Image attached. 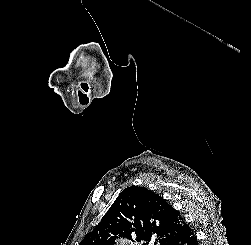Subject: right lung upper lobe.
Listing matches in <instances>:
<instances>
[{
    "instance_id": "right-lung-upper-lobe-1",
    "label": "right lung upper lobe",
    "mask_w": 251,
    "mask_h": 245,
    "mask_svg": "<svg viewBox=\"0 0 251 245\" xmlns=\"http://www.w3.org/2000/svg\"><path fill=\"white\" fill-rule=\"evenodd\" d=\"M189 228L179 213L163 197L139 186L127 187L114 201L101 222L79 245H115L127 238L148 245H166Z\"/></svg>"
}]
</instances>
